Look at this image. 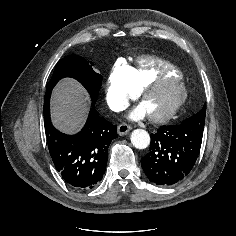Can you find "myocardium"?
<instances>
[{
    "label": "myocardium",
    "mask_w": 236,
    "mask_h": 236,
    "mask_svg": "<svg viewBox=\"0 0 236 236\" xmlns=\"http://www.w3.org/2000/svg\"><path fill=\"white\" fill-rule=\"evenodd\" d=\"M165 84L174 86L177 94L165 111L158 114H148L149 119L153 122L161 123L171 119L182 107L187 98V89L182 79L169 76L157 78L143 85L138 91V98L143 102L148 93Z\"/></svg>",
    "instance_id": "myocardium-1"
}]
</instances>
